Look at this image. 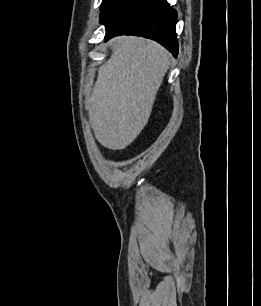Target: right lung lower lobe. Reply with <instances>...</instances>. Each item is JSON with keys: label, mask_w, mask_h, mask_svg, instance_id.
<instances>
[{"label": "right lung lower lobe", "mask_w": 261, "mask_h": 306, "mask_svg": "<svg viewBox=\"0 0 261 306\" xmlns=\"http://www.w3.org/2000/svg\"><path fill=\"white\" fill-rule=\"evenodd\" d=\"M100 21L106 28L105 42L118 35L142 36L177 57V13L166 0H112L101 11Z\"/></svg>", "instance_id": "1"}]
</instances>
